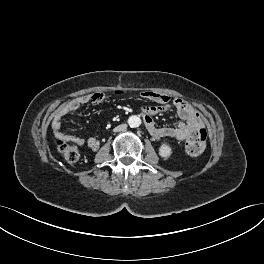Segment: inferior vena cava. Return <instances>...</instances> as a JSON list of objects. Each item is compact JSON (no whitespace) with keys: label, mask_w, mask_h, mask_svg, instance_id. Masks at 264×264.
<instances>
[{"label":"inferior vena cava","mask_w":264,"mask_h":264,"mask_svg":"<svg viewBox=\"0 0 264 264\" xmlns=\"http://www.w3.org/2000/svg\"><path fill=\"white\" fill-rule=\"evenodd\" d=\"M125 129H126V125H120L118 127H115L114 131L118 132V131H122V130H125Z\"/></svg>","instance_id":"inferior-vena-cava-1"}]
</instances>
